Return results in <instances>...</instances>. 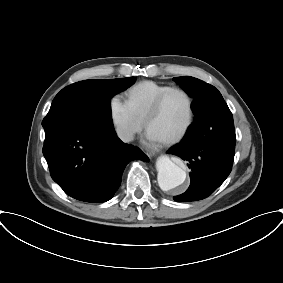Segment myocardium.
<instances>
[{"label": "myocardium", "mask_w": 283, "mask_h": 283, "mask_svg": "<svg viewBox=\"0 0 283 283\" xmlns=\"http://www.w3.org/2000/svg\"><path fill=\"white\" fill-rule=\"evenodd\" d=\"M172 92H180L182 93L187 100V104H188V115H187V119L185 124L183 125V127L181 128V130L175 134L174 136L162 140V142L164 144H174L178 141H180L188 132L189 128L191 127L193 120H194V100L192 95L189 93V91H187L185 88L180 87V86H170L169 88H167L166 90H164L154 101V103L152 104V106L150 107L149 111L147 112L143 124H144V128L148 131V125L150 123V121L159 113L165 99L167 98V96L172 93Z\"/></svg>", "instance_id": "1"}]
</instances>
